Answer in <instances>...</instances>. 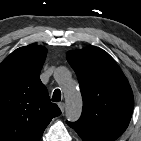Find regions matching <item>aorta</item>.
<instances>
[{
	"label": "aorta",
	"instance_id": "762f6f07",
	"mask_svg": "<svg viewBox=\"0 0 141 141\" xmlns=\"http://www.w3.org/2000/svg\"><path fill=\"white\" fill-rule=\"evenodd\" d=\"M54 77L63 86L67 120L77 121L82 113V97L77 85L70 79L69 70L65 67L57 68Z\"/></svg>",
	"mask_w": 141,
	"mask_h": 141
}]
</instances>
